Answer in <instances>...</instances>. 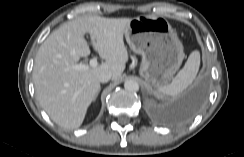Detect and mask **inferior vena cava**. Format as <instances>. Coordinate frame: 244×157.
I'll list each match as a JSON object with an SVG mask.
<instances>
[{
    "mask_svg": "<svg viewBox=\"0 0 244 157\" xmlns=\"http://www.w3.org/2000/svg\"><path fill=\"white\" fill-rule=\"evenodd\" d=\"M111 78H112V74L109 71H104L100 73V75L98 76L99 81L102 83L108 82Z\"/></svg>",
    "mask_w": 244,
    "mask_h": 157,
    "instance_id": "inferior-vena-cava-1",
    "label": "inferior vena cava"
}]
</instances>
